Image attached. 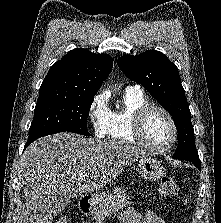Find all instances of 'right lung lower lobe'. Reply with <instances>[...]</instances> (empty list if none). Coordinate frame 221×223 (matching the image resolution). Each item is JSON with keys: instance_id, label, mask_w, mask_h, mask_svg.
I'll list each match as a JSON object with an SVG mask.
<instances>
[{"instance_id": "obj_1", "label": "right lung lower lobe", "mask_w": 221, "mask_h": 223, "mask_svg": "<svg viewBox=\"0 0 221 223\" xmlns=\"http://www.w3.org/2000/svg\"><path fill=\"white\" fill-rule=\"evenodd\" d=\"M30 143H31V142L27 141L26 144H25V148H26ZM25 148H24V149H25Z\"/></svg>"}]
</instances>
